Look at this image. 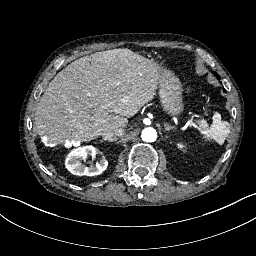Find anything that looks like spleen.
Segmentation results:
<instances>
[{
  "instance_id": "spleen-1",
  "label": "spleen",
  "mask_w": 256,
  "mask_h": 256,
  "mask_svg": "<svg viewBox=\"0 0 256 256\" xmlns=\"http://www.w3.org/2000/svg\"><path fill=\"white\" fill-rule=\"evenodd\" d=\"M230 133V124L227 121H222L220 115L216 114L213 117L211 127L206 131L205 137L215 140L222 145Z\"/></svg>"
}]
</instances>
